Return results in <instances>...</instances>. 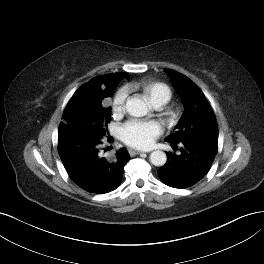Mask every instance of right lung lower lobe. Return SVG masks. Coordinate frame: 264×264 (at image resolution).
Returning <instances> with one entry per match:
<instances>
[{
  "instance_id": "98d812e1",
  "label": "right lung lower lobe",
  "mask_w": 264,
  "mask_h": 264,
  "mask_svg": "<svg viewBox=\"0 0 264 264\" xmlns=\"http://www.w3.org/2000/svg\"><path fill=\"white\" fill-rule=\"evenodd\" d=\"M108 140L113 138L109 136ZM100 144L101 138L94 137L58 139V152L68 175L80 188L96 194L108 193L120 185L123 168L130 159L125 148L111 158L102 157Z\"/></svg>"
}]
</instances>
